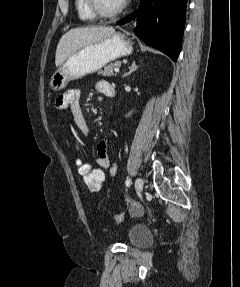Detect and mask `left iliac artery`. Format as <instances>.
I'll list each match as a JSON object with an SVG mask.
<instances>
[{"label": "left iliac artery", "mask_w": 240, "mask_h": 287, "mask_svg": "<svg viewBox=\"0 0 240 287\" xmlns=\"http://www.w3.org/2000/svg\"><path fill=\"white\" fill-rule=\"evenodd\" d=\"M125 184H126V186H127V187H129V186H130L131 181H130V179H129V178H127V180H126Z\"/></svg>", "instance_id": "left-iliac-artery-1"}]
</instances>
